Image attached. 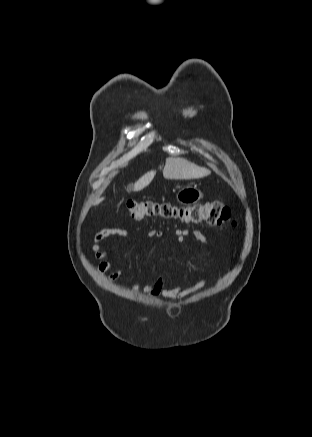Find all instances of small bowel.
Returning <instances> with one entry per match:
<instances>
[{
  "mask_svg": "<svg viewBox=\"0 0 312 437\" xmlns=\"http://www.w3.org/2000/svg\"><path fill=\"white\" fill-rule=\"evenodd\" d=\"M111 236L127 238L128 232L123 229L110 228V229H104L95 235L92 245V250L94 252L95 257L99 260V262L96 265V270L100 274H104L106 271L110 269L112 265V262L110 260V254L104 249L102 245V242L106 238ZM148 236L151 238H160L163 236V234L161 231L151 230L148 233ZM175 236L177 237V240L179 242H184L186 238L192 236L207 251H210L209 244L205 236L199 231L176 230ZM120 276H121V270H116L109 276V281L114 282ZM205 282H206V278H203L200 281H198L194 286L188 288H183L178 286L167 287L163 279L158 278L153 284L143 285V286L135 285L134 291L135 292L143 291L145 293H148L153 298L163 297L172 301H177L183 298L185 295L201 288L205 284Z\"/></svg>",
  "mask_w": 312,
  "mask_h": 437,
  "instance_id": "c3829d8e",
  "label": "small bowel"
}]
</instances>
